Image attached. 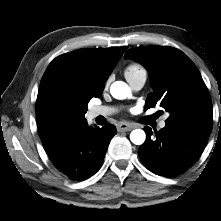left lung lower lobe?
I'll use <instances>...</instances> for the list:
<instances>
[{"instance_id":"obj_1","label":"left lung lower lobe","mask_w":221,"mask_h":221,"mask_svg":"<svg viewBox=\"0 0 221 221\" xmlns=\"http://www.w3.org/2000/svg\"><path fill=\"white\" fill-rule=\"evenodd\" d=\"M144 130L147 139L138 149V155L144 166L157 175L175 176L184 172L205 147L206 139L183 128L166 125L153 132L146 126Z\"/></svg>"}]
</instances>
